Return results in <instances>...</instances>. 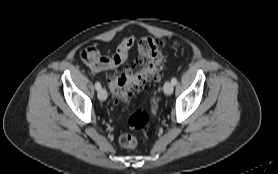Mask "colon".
<instances>
[{
    "mask_svg": "<svg viewBox=\"0 0 278 174\" xmlns=\"http://www.w3.org/2000/svg\"><path fill=\"white\" fill-rule=\"evenodd\" d=\"M161 43L152 37H143L138 44L139 57L133 66L116 72L108 77V84L117 101H129L134 95L144 90L151 82L159 79L163 54ZM150 117L146 110L138 109L128 118L130 132L120 137V144L127 149L138 144V134L148 126Z\"/></svg>",
    "mask_w": 278,
    "mask_h": 174,
    "instance_id": "obj_1",
    "label": "colon"
}]
</instances>
